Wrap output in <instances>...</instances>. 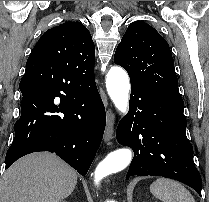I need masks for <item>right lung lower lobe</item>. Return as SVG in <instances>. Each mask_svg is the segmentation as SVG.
<instances>
[{"label": "right lung lower lobe", "mask_w": 209, "mask_h": 202, "mask_svg": "<svg viewBox=\"0 0 209 202\" xmlns=\"http://www.w3.org/2000/svg\"><path fill=\"white\" fill-rule=\"evenodd\" d=\"M21 116L6 154V168L37 151L57 154L85 176L102 141L106 114L96 83L65 87L46 69H26L19 84Z\"/></svg>", "instance_id": "1"}]
</instances>
